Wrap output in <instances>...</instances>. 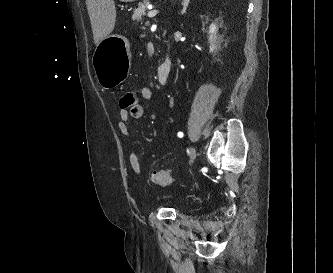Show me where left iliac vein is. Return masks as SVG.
I'll return each mask as SVG.
<instances>
[{
	"label": "left iliac vein",
	"mask_w": 333,
	"mask_h": 273,
	"mask_svg": "<svg viewBox=\"0 0 333 273\" xmlns=\"http://www.w3.org/2000/svg\"><path fill=\"white\" fill-rule=\"evenodd\" d=\"M196 158V150L195 148H192L190 151V158H189V164H193L194 160Z\"/></svg>",
	"instance_id": "left-iliac-vein-1"
}]
</instances>
